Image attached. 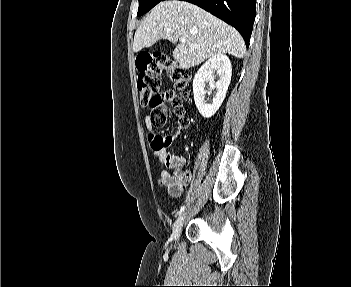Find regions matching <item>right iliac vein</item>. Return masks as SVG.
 <instances>
[{"instance_id":"obj_1","label":"right iliac vein","mask_w":351,"mask_h":287,"mask_svg":"<svg viewBox=\"0 0 351 287\" xmlns=\"http://www.w3.org/2000/svg\"><path fill=\"white\" fill-rule=\"evenodd\" d=\"M185 217H186V213L180 214V216L177 218V220L174 223L173 230H172V238L175 241H178L180 237Z\"/></svg>"}]
</instances>
